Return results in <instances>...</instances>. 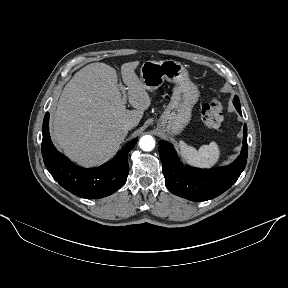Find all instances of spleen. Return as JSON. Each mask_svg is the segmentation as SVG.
<instances>
[{"label":"spleen","instance_id":"3e777b00","mask_svg":"<svg viewBox=\"0 0 288 288\" xmlns=\"http://www.w3.org/2000/svg\"><path fill=\"white\" fill-rule=\"evenodd\" d=\"M178 147L180 155L187 163L201 168L214 166L221 155L220 149L215 142H211L209 145H202L197 150L183 141H179Z\"/></svg>","mask_w":288,"mask_h":288}]
</instances>
